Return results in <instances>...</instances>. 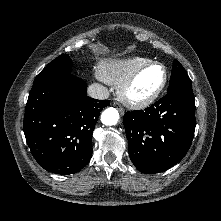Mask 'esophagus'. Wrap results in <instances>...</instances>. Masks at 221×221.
Listing matches in <instances>:
<instances>
[{
	"instance_id": "34e87169",
	"label": "esophagus",
	"mask_w": 221,
	"mask_h": 221,
	"mask_svg": "<svg viewBox=\"0 0 221 221\" xmlns=\"http://www.w3.org/2000/svg\"><path fill=\"white\" fill-rule=\"evenodd\" d=\"M113 105L119 110L120 114H124V109L122 108L121 104L118 102H114Z\"/></svg>"
}]
</instances>
